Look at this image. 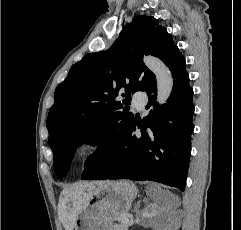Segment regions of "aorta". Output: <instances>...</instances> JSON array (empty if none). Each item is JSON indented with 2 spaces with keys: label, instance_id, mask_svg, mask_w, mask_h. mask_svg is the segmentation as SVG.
Masks as SVG:
<instances>
[{
  "label": "aorta",
  "instance_id": "obj_1",
  "mask_svg": "<svg viewBox=\"0 0 241 230\" xmlns=\"http://www.w3.org/2000/svg\"><path fill=\"white\" fill-rule=\"evenodd\" d=\"M143 60L149 70L156 76L158 103H166L173 88V78L170 70L156 57L146 56Z\"/></svg>",
  "mask_w": 241,
  "mask_h": 230
}]
</instances>
